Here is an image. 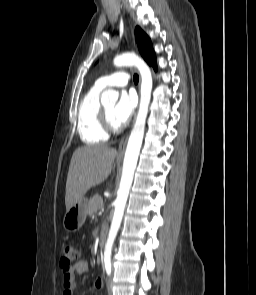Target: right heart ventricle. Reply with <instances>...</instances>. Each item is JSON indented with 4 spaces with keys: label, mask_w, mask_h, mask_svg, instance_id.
<instances>
[{
    "label": "right heart ventricle",
    "mask_w": 256,
    "mask_h": 295,
    "mask_svg": "<svg viewBox=\"0 0 256 295\" xmlns=\"http://www.w3.org/2000/svg\"><path fill=\"white\" fill-rule=\"evenodd\" d=\"M101 87L94 85L83 97L78 110V132L81 140L86 144L105 142L109 135L100 121V94Z\"/></svg>",
    "instance_id": "right-heart-ventricle-1"
}]
</instances>
